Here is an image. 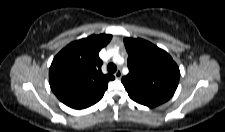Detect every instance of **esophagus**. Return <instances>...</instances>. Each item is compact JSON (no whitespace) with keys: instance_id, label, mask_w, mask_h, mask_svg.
Listing matches in <instances>:
<instances>
[{"instance_id":"1","label":"esophagus","mask_w":225,"mask_h":132,"mask_svg":"<svg viewBox=\"0 0 225 132\" xmlns=\"http://www.w3.org/2000/svg\"><path fill=\"white\" fill-rule=\"evenodd\" d=\"M116 79H120L122 77V72L120 70H117L114 74Z\"/></svg>"}]
</instances>
